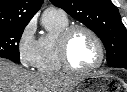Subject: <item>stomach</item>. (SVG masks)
Returning a JSON list of instances; mask_svg holds the SVG:
<instances>
[{
	"instance_id": "stomach-1",
	"label": "stomach",
	"mask_w": 127,
	"mask_h": 92,
	"mask_svg": "<svg viewBox=\"0 0 127 92\" xmlns=\"http://www.w3.org/2000/svg\"><path fill=\"white\" fill-rule=\"evenodd\" d=\"M110 77L100 73H93L83 77L73 92H109Z\"/></svg>"
}]
</instances>
